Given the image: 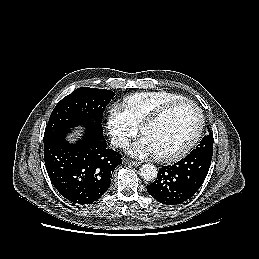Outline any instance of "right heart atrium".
<instances>
[{
	"label": "right heart atrium",
	"instance_id": "d8ad5b80",
	"mask_svg": "<svg viewBox=\"0 0 259 259\" xmlns=\"http://www.w3.org/2000/svg\"><path fill=\"white\" fill-rule=\"evenodd\" d=\"M106 125L112 142L117 147H125L138 130L127 109L118 103L110 107Z\"/></svg>",
	"mask_w": 259,
	"mask_h": 259
}]
</instances>
